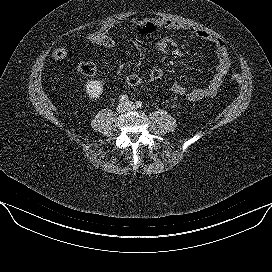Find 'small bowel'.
Returning a JSON list of instances; mask_svg holds the SVG:
<instances>
[{
  "instance_id": "obj_1",
  "label": "small bowel",
  "mask_w": 272,
  "mask_h": 272,
  "mask_svg": "<svg viewBox=\"0 0 272 272\" xmlns=\"http://www.w3.org/2000/svg\"><path fill=\"white\" fill-rule=\"evenodd\" d=\"M131 24L133 26L152 24L153 26L168 30V31H184L187 34L197 37L203 41L209 42L213 45L217 55V65L215 72L208 83L204 86L187 89L183 84L179 82L173 83L171 90L179 95L186 97L190 101H199L204 98L213 97L216 95L223 80L225 79L229 67L230 58L225 43L218 37L211 33L197 29L194 27L186 26L182 23L176 22L170 19L152 18V19H134ZM116 26L115 23H107L102 26L101 30L111 34V31ZM157 51L159 54H171L175 57L183 58L185 53L178 48V43L168 36L161 37L157 42Z\"/></svg>"
}]
</instances>
